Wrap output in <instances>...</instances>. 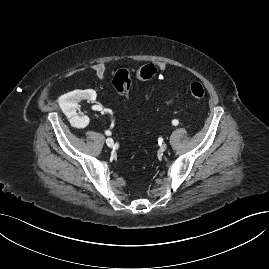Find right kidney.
<instances>
[{
	"mask_svg": "<svg viewBox=\"0 0 269 269\" xmlns=\"http://www.w3.org/2000/svg\"><path fill=\"white\" fill-rule=\"evenodd\" d=\"M84 99L94 102L96 100V92L92 89L74 90L62 95L58 100L60 108L69 121H75L79 123L81 127H85L89 123V118L87 116H79L76 113V109L79 106L78 102Z\"/></svg>",
	"mask_w": 269,
	"mask_h": 269,
	"instance_id": "right-kidney-1",
	"label": "right kidney"
}]
</instances>
